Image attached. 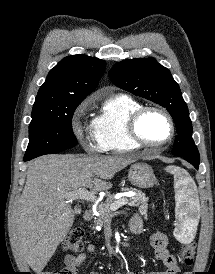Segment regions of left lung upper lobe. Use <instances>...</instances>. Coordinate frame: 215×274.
Listing matches in <instances>:
<instances>
[{"mask_svg": "<svg viewBox=\"0 0 215 274\" xmlns=\"http://www.w3.org/2000/svg\"><path fill=\"white\" fill-rule=\"evenodd\" d=\"M116 86L166 108L175 121L177 137L172 154L200 161L192 138V123L181 90L170 71L154 58L127 59L118 62L109 72Z\"/></svg>", "mask_w": 215, "mask_h": 274, "instance_id": "1", "label": "left lung upper lobe"}]
</instances>
